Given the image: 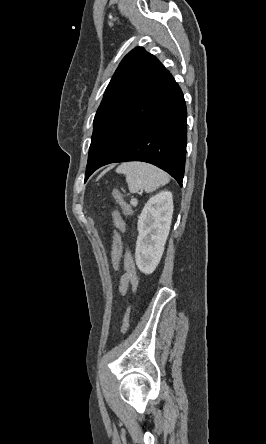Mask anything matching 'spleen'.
<instances>
[{
    "instance_id": "spleen-1",
    "label": "spleen",
    "mask_w": 266,
    "mask_h": 444,
    "mask_svg": "<svg viewBox=\"0 0 266 444\" xmlns=\"http://www.w3.org/2000/svg\"><path fill=\"white\" fill-rule=\"evenodd\" d=\"M116 171L126 176V182L131 193L139 190L151 193L169 182V176L164 171L143 162L123 163Z\"/></svg>"
}]
</instances>
